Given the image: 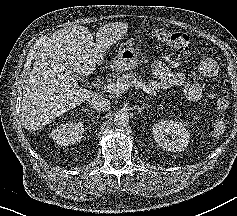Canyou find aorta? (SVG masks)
I'll use <instances>...</instances> for the list:
<instances>
[{
	"label": "aorta",
	"mask_w": 237,
	"mask_h": 216,
	"mask_svg": "<svg viewBox=\"0 0 237 216\" xmlns=\"http://www.w3.org/2000/svg\"><path fill=\"white\" fill-rule=\"evenodd\" d=\"M129 123V115L126 112H117L113 117V125L117 128H124Z\"/></svg>",
	"instance_id": "obj_1"
}]
</instances>
